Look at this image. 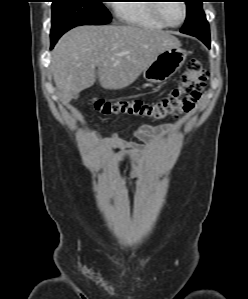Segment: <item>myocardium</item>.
<instances>
[{"label": "myocardium", "mask_w": 248, "mask_h": 299, "mask_svg": "<svg viewBox=\"0 0 248 299\" xmlns=\"http://www.w3.org/2000/svg\"><path fill=\"white\" fill-rule=\"evenodd\" d=\"M158 2H160V1H158ZM180 3L182 5V9H183V16H182V19L180 20V22H178L176 24H172L164 18V16L161 13V6L163 3H154L153 13H154L155 18L166 27H171V28L179 27L180 25H182L184 23V21L187 18V5H186L185 1H180Z\"/></svg>", "instance_id": "1"}]
</instances>
